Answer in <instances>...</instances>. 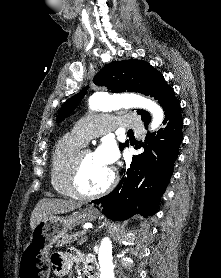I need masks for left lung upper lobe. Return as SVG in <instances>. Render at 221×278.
<instances>
[{"mask_svg":"<svg viewBox=\"0 0 221 278\" xmlns=\"http://www.w3.org/2000/svg\"><path fill=\"white\" fill-rule=\"evenodd\" d=\"M93 82L99 86H105L111 92H139L150 95L158 100L163 110L175 101L174 90L166 83L163 75L158 72L149 63L141 60L114 61L105 65L101 71L94 77ZM84 88L80 93L67 100L61 107L57 123L65 119L79 104L87 92ZM142 121H150L151 116L148 112L138 110ZM129 143H120L119 147L123 150Z\"/></svg>","mask_w":221,"mask_h":278,"instance_id":"1","label":"left lung upper lobe"}]
</instances>
